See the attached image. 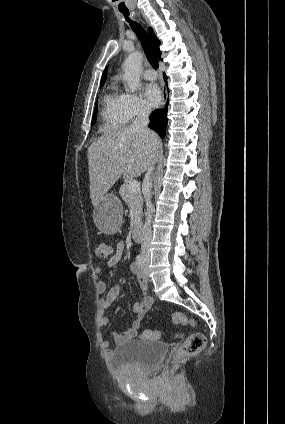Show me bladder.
I'll return each instance as SVG.
<instances>
[{
	"label": "bladder",
	"mask_w": 285,
	"mask_h": 424,
	"mask_svg": "<svg viewBox=\"0 0 285 424\" xmlns=\"http://www.w3.org/2000/svg\"><path fill=\"white\" fill-rule=\"evenodd\" d=\"M169 350L166 343L134 339L117 346L109 359L114 370H151L157 367Z\"/></svg>",
	"instance_id": "1"
}]
</instances>
